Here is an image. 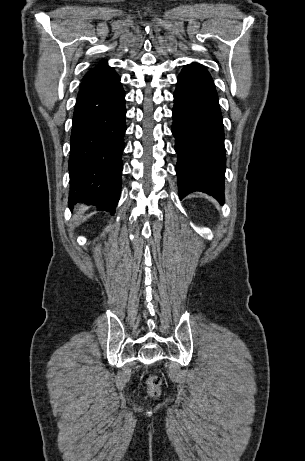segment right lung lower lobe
<instances>
[{
	"label": "right lung lower lobe",
	"mask_w": 305,
	"mask_h": 461,
	"mask_svg": "<svg viewBox=\"0 0 305 461\" xmlns=\"http://www.w3.org/2000/svg\"><path fill=\"white\" fill-rule=\"evenodd\" d=\"M125 93L117 73L83 80L70 138L69 203L114 214L121 190Z\"/></svg>",
	"instance_id": "obj_1"
}]
</instances>
